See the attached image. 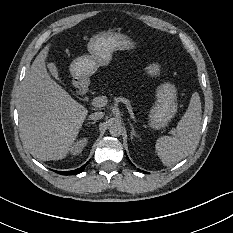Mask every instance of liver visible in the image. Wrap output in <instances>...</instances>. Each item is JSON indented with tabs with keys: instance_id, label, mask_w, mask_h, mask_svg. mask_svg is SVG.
<instances>
[{
	"instance_id": "6515ba94",
	"label": "liver",
	"mask_w": 233,
	"mask_h": 233,
	"mask_svg": "<svg viewBox=\"0 0 233 233\" xmlns=\"http://www.w3.org/2000/svg\"><path fill=\"white\" fill-rule=\"evenodd\" d=\"M47 48L28 70L18 99L23 144L42 160L64 156L87 115L86 108L47 73Z\"/></svg>"
}]
</instances>
